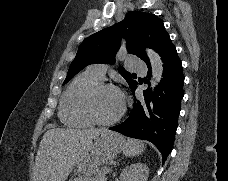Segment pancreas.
Listing matches in <instances>:
<instances>
[{
    "mask_svg": "<svg viewBox=\"0 0 228 181\" xmlns=\"http://www.w3.org/2000/svg\"><path fill=\"white\" fill-rule=\"evenodd\" d=\"M105 175L104 169H100L98 173L95 175V179L93 181H103V177ZM75 181H92L91 175H80V177H77Z\"/></svg>",
    "mask_w": 228,
    "mask_h": 181,
    "instance_id": "obj_1",
    "label": "pancreas"
}]
</instances>
